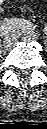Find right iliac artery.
I'll return each mask as SVG.
<instances>
[{
    "label": "right iliac artery",
    "mask_w": 47,
    "mask_h": 129,
    "mask_svg": "<svg viewBox=\"0 0 47 129\" xmlns=\"http://www.w3.org/2000/svg\"><path fill=\"white\" fill-rule=\"evenodd\" d=\"M14 29L33 31L34 26L27 20L11 18V19L5 20L0 27L1 34L3 35L7 34L9 31Z\"/></svg>",
    "instance_id": "obj_1"
}]
</instances>
